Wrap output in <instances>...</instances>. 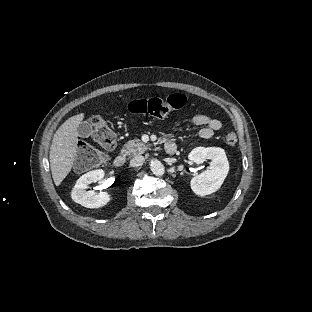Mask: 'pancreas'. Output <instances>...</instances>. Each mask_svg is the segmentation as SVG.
I'll return each mask as SVG.
<instances>
[{
	"label": "pancreas",
	"instance_id": "cf45deb5",
	"mask_svg": "<svg viewBox=\"0 0 312 312\" xmlns=\"http://www.w3.org/2000/svg\"><path fill=\"white\" fill-rule=\"evenodd\" d=\"M148 149V146L139 139L128 141L121 150L123 156L134 157L143 154Z\"/></svg>",
	"mask_w": 312,
	"mask_h": 312
}]
</instances>
